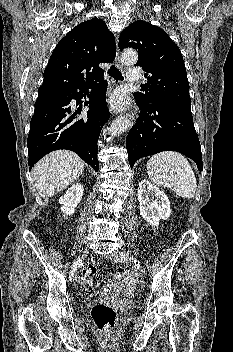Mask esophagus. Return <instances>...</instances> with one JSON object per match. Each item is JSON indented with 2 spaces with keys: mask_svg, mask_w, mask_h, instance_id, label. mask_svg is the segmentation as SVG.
I'll list each match as a JSON object with an SVG mask.
<instances>
[{
  "mask_svg": "<svg viewBox=\"0 0 233 352\" xmlns=\"http://www.w3.org/2000/svg\"><path fill=\"white\" fill-rule=\"evenodd\" d=\"M115 65L118 67V68H122V63L120 61V55H119V49L117 47V53H116V58H115ZM130 119V122L131 124H133L134 122V116L132 114H128L127 115Z\"/></svg>",
  "mask_w": 233,
  "mask_h": 352,
  "instance_id": "obj_1",
  "label": "esophagus"
}]
</instances>
